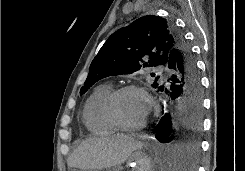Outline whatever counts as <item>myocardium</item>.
<instances>
[{"label": "myocardium", "instance_id": "f54148a6", "mask_svg": "<svg viewBox=\"0 0 245 171\" xmlns=\"http://www.w3.org/2000/svg\"><path fill=\"white\" fill-rule=\"evenodd\" d=\"M127 92H137L144 96L147 103H150V97L148 92L141 86L136 84H128L120 86L114 89L107 98L106 101V111L111 119V121L116 125V127L123 131H136L142 129L146 125L147 117L138 124L130 125L122 121L118 113V101L120 97Z\"/></svg>", "mask_w": 245, "mask_h": 171}]
</instances>
